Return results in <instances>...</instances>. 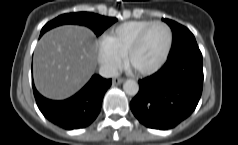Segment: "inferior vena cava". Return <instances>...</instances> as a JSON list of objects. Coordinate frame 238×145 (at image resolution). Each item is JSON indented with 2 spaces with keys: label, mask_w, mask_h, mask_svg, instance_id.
Masks as SVG:
<instances>
[{
  "label": "inferior vena cava",
  "mask_w": 238,
  "mask_h": 145,
  "mask_svg": "<svg viewBox=\"0 0 238 145\" xmlns=\"http://www.w3.org/2000/svg\"><path fill=\"white\" fill-rule=\"evenodd\" d=\"M99 74L104 78H114L118 76V71L112 66L103 65L99 69Z\"/></svg>",
  "instance_id": "602c4592"
}]
</instances>
